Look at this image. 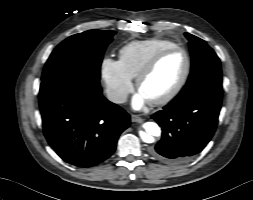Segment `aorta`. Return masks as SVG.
<instances>
[{"label": "aorta", "mask_w": 253, "mask_h": 200, "mask_svg": "<svg viewBox=\"0 0 253 200\" xmlns=\"http://www.w3.org/2000/svg\"><path fill=\"white\" fill-rule=\"evenodd\" d=\"M143 127L146 132H140V137L146 143H153V137L161 134L160 127L154 122H146Z\"/></svg>", "instance_id": "762f6f07"}]
</instances>
